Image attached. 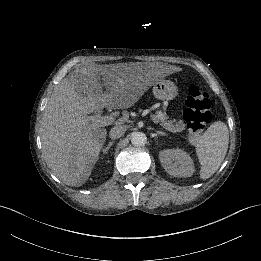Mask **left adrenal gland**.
I'll use <instances>...</instances> for the list:
<instances>
[{
    "label": "left adrenal gland",
    "mask_w": 261,
    "mask_h": 261,
    "mask_svg": "<svg viewBox=\"0 0 261 261\" xmlns=\"http://www.w3.org/2000/svg\"><path fill=\"white\" fill-rule=\"evenodd\" d=\"M156 134L157 135H162V136H167V134L166 133H164V132H162V131H156Z\"/></svg>",
    "instance_id": "1"
}]
</instances>
